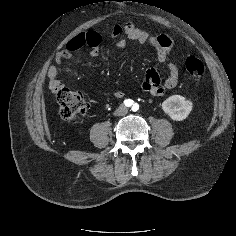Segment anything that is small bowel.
<instances>
[{"instance_id": "1", "label": "small bowel", "mask_w": 236, "mask_h": 236, "mask_svg": "<svg viewBox=\"0 0 236 236\" xmlns=\"http://www.w3.org/2000/svg\"><path fill=\"white\" fill-rule=\"evenodd\" d=\"M109 35L117 39L116 46L120 49H125L131 41H136L143 46L152 48L160 62L168 60L174 46V41L170 35L162 33L150 36L145 31L136 28L132 23L114 25L110 29ZM101 40L102 35L97 31L80 32L69 40L63 51L56 55L55 62L62 64L83 49H87L88 53L93 57L98 56ZM47 77L49 89L53 93H56L59 88L63 87V84L58 79V69L56 66L51 65L48 68ZM179 77L180 71L178 66L168 62L167 76L163 81L155 69H148L143 77L141 88L144 92L153 96H162L166 90L177 86ZM112 93L116 98H121L124 95L120 90H113Z\"/></svg>"}]
</instances>
